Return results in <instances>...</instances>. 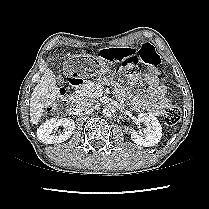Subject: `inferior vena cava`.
Wrapping results in <instances>:
<instances>
[{
    "mask_svg": "<svg viewBox=\"0 0 209 209\" xmlns=\"http://www.w3.org/2000/svg\"><path fill=\"white\" fill-rule=\"evenodd\" d=\"M95 105V100L91 98H82L79 103V108L83 111L91 110Z\"/></svg>",
    "mask_w": 209,
    "mask_h": 209,
    "instance_id": "602c4592",
    "label": "inferior vena cava"
}]
</instances>
